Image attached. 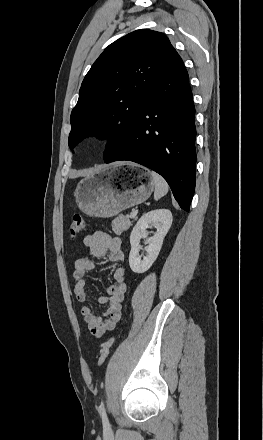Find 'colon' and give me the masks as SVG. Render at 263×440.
Here are the masks:
<instances>
[{
  "mask_svg": "<svg viewBox=\"0 0 263 440\" xmlns=\"http://www.w3.org/2000/svg\"><path fill=\"white\" fill-rule=\"evenodd\" d=\"M84 227H85L84 218L78 214L74 215L69 227L70 235L72 237L77 236L84 229ZM112 343H113V339L110 338L109 340H107L102 344L98 358V365H102L107 359Z\"/></svg>",
  "mask_w": 263,
  "mask_h": 440,
  "instance_id": "colon-1",
  "label": "colon"
}]
</instances>
